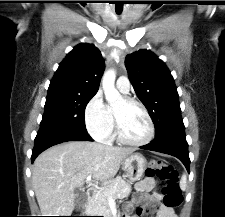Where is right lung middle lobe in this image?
I'll use <instances>...</instances> for the list:
<instances>
[{
    "instance_id": "1",
    "label": "right lung middle lobe",
    "mask_w": 225,
    "mask_h": 217,
    "mask_svg": "<svg viewBox=\"0 0 225 217\" xmlns=\"http://www.w3.org/2000/svg\"><path fill=\"white\" fill-rule=\"evenodd\" d=\"M94 95L48 93L40 126H57L87 132L84 112Z\"/></svg>"
}]
</instances>
